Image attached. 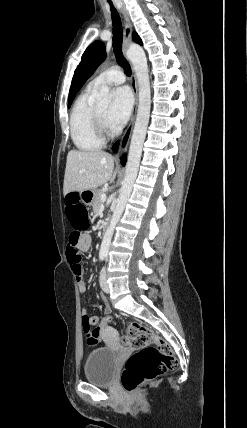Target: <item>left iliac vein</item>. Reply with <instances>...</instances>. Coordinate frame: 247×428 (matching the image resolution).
<instances>
[{
	"mask_svg": "<svg viewBox=\"0 0 247 428\" xmlns=\"http://www.w3.org/2000/svg\"><path fill=\"white\" fill-rule=\"evenodd\" d=\"M100 286L105 293H109V284L107 282L106 269L103 268L100 273Z\"/></svg>",
	"mask_w": 247,
	"mask_h": 428,
	"instance_id": "left-iliac-vein-1",
	"label": "left iliac vein"
}]
</instances>
